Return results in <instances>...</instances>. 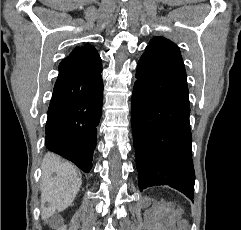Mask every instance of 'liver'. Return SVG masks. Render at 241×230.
Returning a JSON list of instances; mask_svg holds the SVG:
<instances>
[{
    "label": "liver",
    "mask_w": 241,
    "mask_h": 230,
    "mask_svg": "<svg viewBox=\"0 0 241 230\" xmlns=\"http://www.w3.org/2000/svg\"><path fill=\"white\" fill-rule=\"evenodd\" d=\"M42 169V181L46 186L43 200L49 203L47 208L42 207V219H47L72 204L82 180L80 173L71 163L62 161L53 153L44 156Z\"/></svg>",
    "instance_id": "6515ba94"
}]
</instances>
